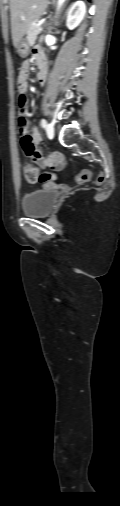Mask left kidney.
I'll return each mask as SVG.
<instances>
[{
	"label": "left kidney",
	"mask_w": 120,
	"mask_h": 506,
	"mask_svg": "<svg viewBox=\"0 0 120 506\" xmlns=\"http://www.w3.org/2000/svg\"><path fill=\"white\" fill-rule=\"evenodd\" d=\"M86 14V5L83 1L75 2L68 11L66 25L69 29L76 28Z\"/></svg>",
	"instance_id": "1"
}]
</instances>
